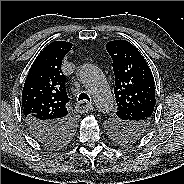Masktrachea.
<instances>
[{
  "label": "trachea",
  "mask_w": 184,
  "mask_h": 184,
  "mask_svg": "<svg viewBox=\"0 0 184 184\" xmlns=\"http://www.w3.org/2000/svg\"><path fill=\"white\" fill-rule=\"evenodd\" d=\"M85 100H87V101L90 102L89 96H88L86 93L82 92V93L78 96V101H85ZM83 105H84V104H83Z\"/></svg>",
  "instance_id": "obj_1"
}]
</instances>
